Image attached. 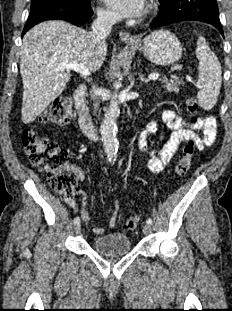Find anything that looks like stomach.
Returning a JSON list of instances; mask_svg holds the SVG:
<instances>
[{
  "instance_id": "stomach-1",
  "label": "stomach",
  "mask_w": 232,
  "mask_h": 311,
  "mask_svg": "<svg viewBox=\"0 0 232 311\" xmlns=\"http://www.w3.org/2000/svg\"><path fill=\"white\" fill-rule=\"evenodd\" d=\"M143 55L156 65H170L182 56V46L179 39L170 31L156 30L138 44Z\"/></svg>"
}]
</instances>
